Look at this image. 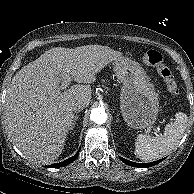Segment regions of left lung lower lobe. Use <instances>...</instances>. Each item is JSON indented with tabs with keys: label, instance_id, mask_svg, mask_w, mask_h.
Returning <instances> with one entry per match:
<instances>
[{
	"label": "left lung lower lobe",
	"instance_id": "obj_1",
	"mask_svg": "<svg viewBox=\"0 0 194 194\" xmlns=\"http://www.w3.org/2000/svg\"><path fill=\"white\" fill-rule=\"evenodd\" d=\"M120 159L125 163V164H128L130 166H134V167H138V168H147V167H151V166H154L158 163H160L163 159H160L158 161H154V162H150V163H136V162H132V161H129V160H126L124 158H121Z\"/></svg>",
	"mask_w": 194,
	"mask_h": 194
}]
</instances>
